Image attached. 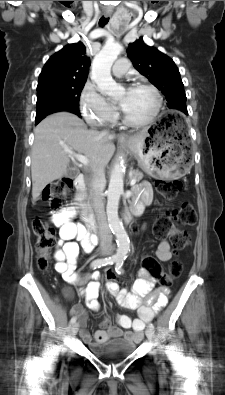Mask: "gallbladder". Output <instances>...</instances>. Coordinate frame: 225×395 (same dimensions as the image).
Wrapping results in <instances>:
<instances>
[{"label":"gallbladder","instance_id":"1","mask_svg":"<svg viewBox=\"0 0 225 395\" xmlns=\"http://www.w3.org/2000/svg\"><path fill=\"white\" fill-rule=\"evenodd\" d=\"M77 175H78L77 169H75L72 166H69L68 169H67L66 176L69 177V178H75Z\"/></svg>","mask_w":225,"mask_h":395}]
</instances>
